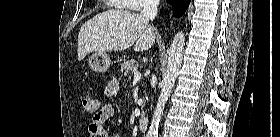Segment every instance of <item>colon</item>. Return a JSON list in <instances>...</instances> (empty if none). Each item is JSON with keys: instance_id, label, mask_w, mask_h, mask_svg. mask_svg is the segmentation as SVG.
<instances>
[{"instance_id": "colon-1", "label": "colon", "mask_w": 280, "mask_h": 137, "mask_svg": "<svg viewBox=\"0 0 280 137\" xmlns=\"http://www.w3.org/2000/svg\"><path fill=\"white\" fill-rule=\"evenodd\" d=\"M82 106L84 111L91 116H95L99 112V103L96 99L85 97L82 100ZM95 136V135H93Z\"/></svg>"}]
</instances>
